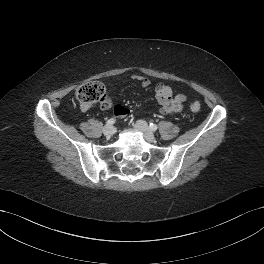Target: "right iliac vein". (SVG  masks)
<instances>
[{
    "label": "right iliac vein",
    "mask_w": 264,
    "mask_h": 264,
    "mask_svg": "<svg viewBox=\"0 0 264 264\" xmlns=\"http://www.w3.org/2000/svg\"><path fill=\"white\" fill-rule=\"evenodd\" d=\"M114 128L112 125H106L103 128V133L105 136L110 137L113 134Z\"/></svg>",
    "instance_id": "obj_1"
}]
</instances>
